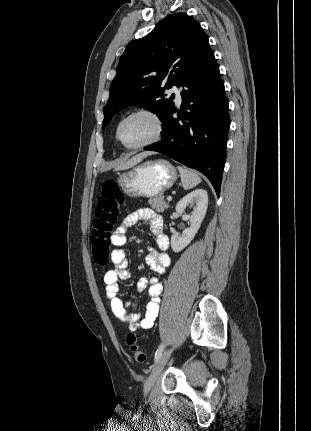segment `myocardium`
<instances>
[{"label": "myocardium", "instance_id": "obj_1", "mask_svg": "<svg viewBox=\"0 0 311 431\" xmlns=\"http://www.w3.org/2000/svg\"><path fill=\"white\" fill-rule=\"evenodd\" d=\"M135 114H146V115L152 117L156 122V127H157L156 133L149 140H147L143 143H139V144H135V145H126L120 140V138L118 136V126L124 118L131 116V115H135ZM164 132H165V122H164L163 117L160 115V113L157 110L150 108V107H139V108H135L133 110H130V111L124 113L123 115H121L117 119V121L114 125L115 139L118 141V143L122 147L129 149V150L142 149V148H146V147H149V146L155 144L156 142H158L161 139Z\"/></svg>", "mask_w": 311, "mask_h": 431}]
</instances>
